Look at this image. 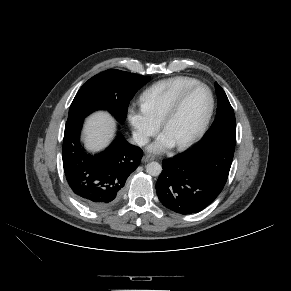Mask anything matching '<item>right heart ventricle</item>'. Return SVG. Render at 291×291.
Returning <instances> with one entry per match:
<instances>
[{
	"instance_id": "right-heart-ventricle-1",
	"label": "right heart ventricle",
	"mask_w": 291,
	"mask_h": 291,
	"mask_svg": "<svg viewBox=\"0 0 291 291\" xmlns=\"http://www.w3.org/2000/svg\"><path fill=\"white\" fill-rule=\"evenodd\" d=\"M198 82L197 79L188 76H176L160 80L143 91L140 96L141 106L153 119L160 123L177 96L185 88Z\"/></svg>"
}]
</instances>
